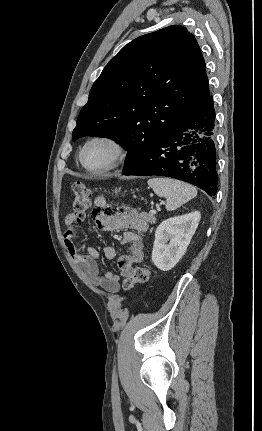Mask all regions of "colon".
Listing matches in <instances>:
<instances>
[{
  "instance_id": "5ec220e1",
  "label": "colon",
  "mask_w": 262,
  "mask_h": 431,
  "mask_svg": "<svg viewBox=\"0 0 262 431\" xmlns=\"http://www.w3.org/2000/svg\"><path fill=\"white\" fill-rule=\"evenodd\" d=\"M91 205V194L88 188L80 182H77L72 187V213L74 223L80 224L84 221L86 212ZM116 207L108 205L105 208L107 214H113ZM151 272L146 267H136L133 274L122 281L123 289L127 290L134 285H144L150 281Z\"/></svg>"
}]
</instances>
